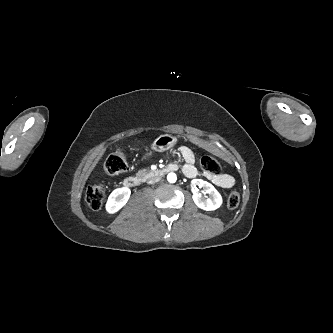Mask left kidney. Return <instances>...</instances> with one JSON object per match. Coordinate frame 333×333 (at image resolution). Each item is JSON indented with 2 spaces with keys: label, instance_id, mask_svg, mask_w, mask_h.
Returning a JSON list of instances; mask_svg holds the SVG:
<instances>
[{
  "label": "left kidney",
  "instance_id": "1",
  "mask_svg": "<svg viewBox=\"0 0 333 333\" xmlns=\"http://www.w3.org/2000/svg\"><path fill=\"white\" fill-rule=\"evenodd\" d=\"M196 185L201 187L205 193L209 194L210 197L207 199L203 198L201 194L194 189ZM191 186L193 192V201L199 208L206 211H211L221 206L222 197L212 184L202 179H194L191 182Z\"/></svg>",
  "mask_w": 333,
  "mask_h": 333
}]
</instances>
